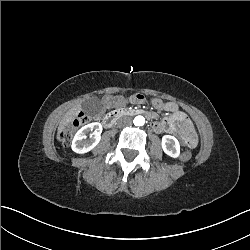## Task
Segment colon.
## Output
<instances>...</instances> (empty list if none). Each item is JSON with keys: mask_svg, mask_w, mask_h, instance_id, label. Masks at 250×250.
I'll list each match as a JSON object with an SVG mask.
<instances>
[{"mask_svg": "<svg viewBox=\"0 0 250 250\" xmlns=\"http://www.w3.org/2000/svg\"><path fill=\"white\" fill-rule=\"evenodd\" d=\"M133 100L137 103H142L145 100V96L141 93H137L133 96ZM150 105H161V100H150ZM98 109L92 105L87 112H81L76 115L73 121H69L66 127L60 128L56 133V138L61 142V148L64 151H69L72 148L71 137L75 135L79 127L85 126L95 121V114ZM188 147H194L196 145V139L192 135L188 140L185 141ZM190 158L189 152H184L179 155V159L183 162H188Z\"/></svg>", "mask_w": 250, "mask_h": 250, "instance_id": "1", "label": "colon"}]
</instances>
